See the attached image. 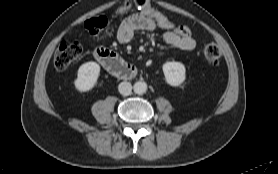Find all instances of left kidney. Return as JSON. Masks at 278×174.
I'll use <instances>...</instances> for the list:
<instances>
[{
	"mask_svg": "<svg viewBox=\"0 0 278 174\" xmlns=\"http://www.w3.org/2000/svg\"><path fill=\"white\" fill-rule=\"evenodd\" d=\"M166 82L173 87L180 86L186 79L185 66L180 62H166L163 64Z\"/></svg>",
	"mask_w": 278,
	"mask_h": 174,
	"instance_id": "1",
	"label": "left kidney"
}]
</instances>
